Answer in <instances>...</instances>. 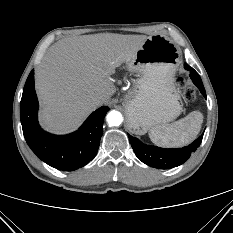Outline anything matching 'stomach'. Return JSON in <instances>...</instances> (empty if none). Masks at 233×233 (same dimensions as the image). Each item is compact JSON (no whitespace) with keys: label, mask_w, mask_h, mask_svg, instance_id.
<instances>
[{"label":"stomach","mask_w":233,"mask_h":233,"mask_svg":"<svg viewBox=\"0 0 233 233\" xmlns=\"http://www.w3.org/2000/svg\"><path fill=\"white\" fill-rule=\"evenodd\" d=\"M180 55L179 48L169 37L153 35L126 62L128 69L137 76L133 89L123 99L131 132L145 134L173 121L183 111L174 84Z\"/></svg>","instance_id":"0dacf381"}]
</instances>
